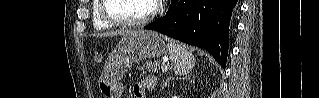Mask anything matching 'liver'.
<instances>
[{"mask_svg":"<svg viewBox=\"0 0 319 98\" xmlns=\"http://www.w3.org/2000/svg\"><path fill=\"white\" fill-rule=\"evenodd\" d=\"M133 33V31H116V32H109V33H104V34H99V37H108V36H117V35H128Z\"/></svg>","mask_w":319,"mask_h":98,"instance_id":"6515ba94","label":"liver"}]
</instances>
